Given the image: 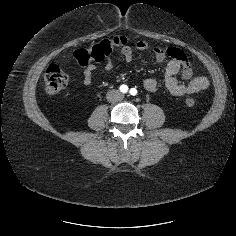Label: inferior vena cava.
<instances>
[{"label": "inferior vena cava", "instance_id": "inferior-vena-cava-1", "mask_svg": "<svg viewBox=\"0 0 236 236\" xmlns=\"http://www.w3.org/2000/svg\"><path fill=\"white\" fill-rule=\"evenodd\" d=\"M113 93H115L118 96V100H121L123 98L122 93H120L119 91H115Z\"/></svg>", "mask_w": 236, "mask_h": 236}]
</instances>
